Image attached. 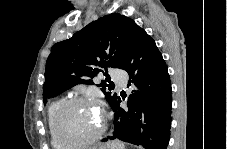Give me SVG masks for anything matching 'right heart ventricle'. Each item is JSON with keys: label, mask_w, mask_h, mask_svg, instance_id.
Here are the masks:
<instances>
[{"label": "right heart ventricle", "mask_w": 227, "mask_h": 149, "mask_svg": "<svg viewBox=\"0 0 227 149\" xmlns=\"http://www.w3.org/2000/svg\"><path fill=\"white\" fill-rule=\"evenodd\" d=\"M63 99L54 100L48 107L47 111V120H48V128L51 138V145L54 149H65L64 145L60 143L58 140L55 129H54V116L56 113L57 108L63 102Z\"/></svg>", "instance_id": "e07e8e85"}]
</instances>
